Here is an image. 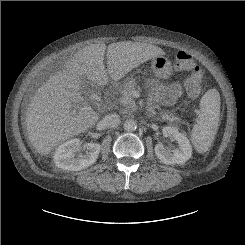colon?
Segmentation results:
<instances>
[{
    "mask_svg": "<svg viewBox=\"0 0 245 245\" xmlns=\"http://www.w3.org/2000/svg\"><path fill=\"white\" fill-rule=\"evenodd\" d=\"M175 66L177 69L187 73L184 82L185 90L188 96L196 98L202 89L203 72L195 64L193 56L187 50H180L175 56Z\"/></svg>",
    "mask_w": 245,
    "mask_h": 245,
    "instance_id": "1",
    "label": "colon"
}]
</instances>
